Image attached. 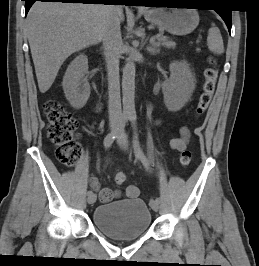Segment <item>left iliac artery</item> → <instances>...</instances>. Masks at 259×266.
<instances>
[{"mask_svg":"<svg viewBox=\"0 0 259 266\" xmlns=\"http://www.w3.org/2000/svg\"><path fill=\"white\" fill-rule=\"evenodd\" d=\"M129 119L131 121L132 127L134 129V136H133V148H134V153L135 156L143 163V165L145 166L146 169L149 168L150 163L149 160L147 159V157L144 155L141 147H140V143H139V139H138V133H137V122H136V114H131L129 116ZM155 201H157V203L161 202V199L156 198Z\"/></svg>","mask_w":259,"mask_h":266,"instance_id":"left-iliac-artery-1","label":"left iliac artery"}]
</instances>
